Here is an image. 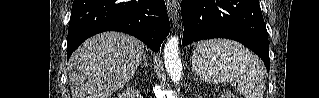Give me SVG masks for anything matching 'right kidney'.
<instances>
[{"label": "right kidney", "instance_id": "obj_1", "mask_svg": "<svg viewBox=\"0 0 319 98\" xmlns=\"http://www.w3.org/2000/svg\"><path fill=\"white\" fill-rule=\"evenodd\" d=\"M125 97V94L123 95H119V96H117V98H124Z\"/></svg>", "mask_w": 319, "mask_h": 98}]
</instances>
